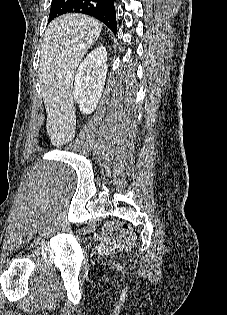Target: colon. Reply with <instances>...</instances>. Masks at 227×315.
I'll use <instances>...</instances> for the list:
<instances>
[{
    "instance_id": "obj_1",
    "label": "colon",
    "mask_w": 227,
    "mask_h": 315,
    "mask_svg": "<svg viewBox=\"0 0 227 315\" xmlns=\"http://www.w3.org/2000/svg\"><path fill=\"white\" fill-rule=\"evenodd\" d=\"M134 232L131 225L127 222L122 224V234L121 239L126 246H131L134 241Z\"/></svg>"
}]
</instances>
